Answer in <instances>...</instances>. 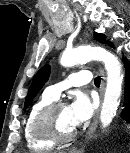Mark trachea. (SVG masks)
<instances>
[{
    "mask_svg": "<svg viewBox=\"0 0 130 153\" xmlns=\"http://www.w3.org/2000/svg\"><path fill=\"white\" fill-rule=\"evenodd\" d=\"M100 81H101L100 77H96L95 80H94V84L96 86H100Z\"/></svg>",
    "mask_w": 130,
    "mask_h": 153,
    "instance_id": "trachea-1",
    "label": "trachea"
}]
</instances>
